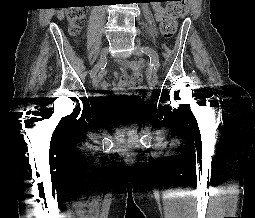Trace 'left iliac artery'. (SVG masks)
Wrapping results in <instances>:
<instances>
[{
    "label": "left iliac artery",
    "mask_w": 255,
    "mask_h": 218,
    "mask_svg": "<svg viewBox=\"0 0 255 218\" xmlns=\"http://www.w3.org/2000/svg\"><path fill=\"white\" fill-rule=\"evenodd\" d=\"M143 53L147 54L150 58V64L153 67L154 71L157 72L159 69V58L156 51L150 47H143Z\"/></svg>",
    "instance_id": "44dca946"
}]
</instances>
